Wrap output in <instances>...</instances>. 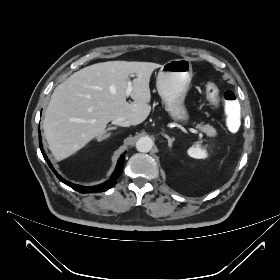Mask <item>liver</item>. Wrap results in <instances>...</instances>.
Masks as SVG:
<instances>
[{"instance_id":"liver-1","label":"liver","mask_w":280,"mask_h":280,"mask_svg":"<svg viewBox=\"0 0 280 280\" xmlns=\"http://www.w3.org/2000/svg\"><path fill=\"white\" fill-rule=\"evenodd\" d=\"M159 67L152 62L108 61L87 66L58 85L43 122L53 155L69 157L103 135L115 118L124 117L134 126L145 121L151 111L150 77ZM129 74L137 76L131 103L126 101Z\"/></svg>"}]
</instances>
